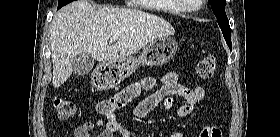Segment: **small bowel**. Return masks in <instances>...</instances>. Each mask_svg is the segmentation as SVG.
<instances>
[{"instance_id":"small-bowel-1","label":"small bowel","mask_w":280,"mask_h":137,"mask_svg":"<svg viewBox=\"0 0 280 137\" xmlns=\"http://www.w3.org/2000/svg\"><path fill=\"white\" fill-rule=\"evenodd\" d=\"M157 85H161V87L137 104L133 109V115L136 118H145L160 105L165 111L179 118H186L191 115L194 106L205 98L203 87H187L179 82V77L176 72H167L158 77H143L127 86L123 91H127L136 97L143 90H152ZM120 94L121 92L97 105V113L104 116L105 120L87 121L83 123L75 129V137H90V133L95 127H103V131L98 137H133L130 131L118 121V110L128 103L120 98ZM176 95L181 96L185 100V104L180 108L173 107V97ZM211 128L214 127L206 126L201 132ZM171 137H184V135L182 133H176Z\"/></svg>"}]
</instances>
